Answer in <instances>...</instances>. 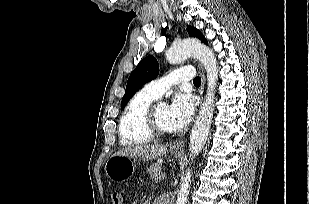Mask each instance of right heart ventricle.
<instances>
[{
	"mask_svg": "<svg viewBox=\"0 0 309 204\" xmlns=\"http://www.w3.org/2000/svg\"><path fill=\"white\" fill-rule=\"evenodd\" d=\"M154 96L141 90L135 94L124 108L119 121L120 143L124 146L147 143L153 136L144 125V115L148 107L156 100Z\"/></svg>",
	"mask_w": 309,
	"mask_h": 204,
	"instance_id": "right-heart-ventricle-1",
	"label": "right heart ventricle"
}]
</instances>
